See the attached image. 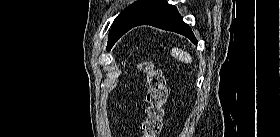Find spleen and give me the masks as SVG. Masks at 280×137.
Instances as JSON below:
<instances>
[{"label":"spleen","mask_w":280,"mask_h":137,"mask_svg":"<svg viewBox=\"0 0 280 137\" xmlns=\"http://www.w3.org/2000/svg\"><path fill=\"white\" fill-rule=\"evenodd\" d=\"M171 55H172L175 59H177V60H179V61H181V62H184V63H192V57H191V55H190L188 52H186V51H184V50H182V49H179V48H177V47L172 48V50H171Z\"/></svg>","instance_id":"1"}]
</instances>
